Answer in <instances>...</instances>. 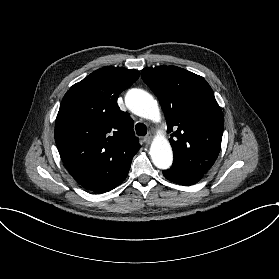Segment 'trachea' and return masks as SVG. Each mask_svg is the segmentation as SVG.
Listing matches in <instances>:
<instances>
[{
    "label": "trachea",
    "instance_id": "3493384b",
    "mask_svg": "<svg viewBox=\"0 0 279 279\" xmlns=\"http://www.w3.org/2000/svg\"><path fill=\"white\" fill-rule=\"evenodd\" d=\"M136 133L139 136H145L147 133V128L143 123L136 124Z\"/></svg>",
    "mask_w": 279,
    "mask_h": 279
}]
</instances>
